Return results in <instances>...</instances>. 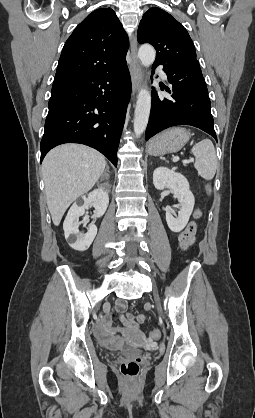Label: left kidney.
Masks as SVG:
<instances>
[{
    "label": "left kidney",
    "instance_id": "5707ae66",
    "mask_svg": "<svg viewBox=\"0 0 255 418\" xmlns=\"http://www.w3.org/2000/svg\"><path fill=\"white\" fill-rule=\"evenodd\" d=\"M153 184L157 190L171 189L174 198L178 199L180 203L178 216L174 217L169 209L166 211V221L171 231H182L189 221L195 203L188 180L181 173L166 167H158L153 173Z\"/></svg>",
    "mask_w": 255,
    "mask_h": 418
}]
</instances>
